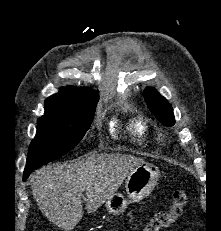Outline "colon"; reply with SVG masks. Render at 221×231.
<instances>
[{
  "label": "colon",
  "mask_w": 221,
  "mask_h": 231,
  "mask_svg": "<svg viewBox=\"0 0 221 231\" xmlns=\"http://www.w3.org/2000/svg\"><path fill=\"white\" fill-rule=\"evenodd\" d=\"M187 202L186 192L178 189L173 194V201L169 209L155 214L143 226L142 231H161L175 224L183 212Z\"/></svg>",
  "instance_id": "5ec220e1"
}]
</instances>
